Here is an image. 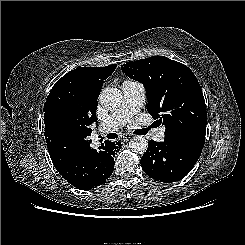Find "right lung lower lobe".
<instances>
[{"mask_svg": "<svg viewBox=\"0 0 245 245\" xmlns=\"http://www.w3.org/2000/svg\"><path fill=\"white\" fill-rule=\"evenodd\" d=\"M47 147L56 170L65 180L80 190H91L111 176L115 153L122 144L105 141L98 151L91 148L90 143L72 150L73 146L66 140L57 138L51 144L47 143Z\"/></svg>", "mask_w": 245, "mask_h": 245, "instance_id": "obj_1", "label": "right lung lower lobe"}]
</instances>
